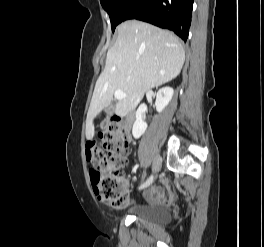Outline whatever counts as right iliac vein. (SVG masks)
Segmentation results:
<instances>
[{
	"mask_svg": "<svg viewBox=\"0 0 264 247\" xmlns=\"http://www.w3.org/2000/svg\"><path fill=\"white\" fill-rule=\"evenodd\" d=\"M160 166H161V159H160V157H156L155 159H154V161H153V171L154 172H158L159 171V169H160Z\"/></svg>",
	"mask_w": 264,
	"mask_h": 247,
	"instance_id": "63e3f726",
	"label": "right iliac vein"
}]
</instances>
